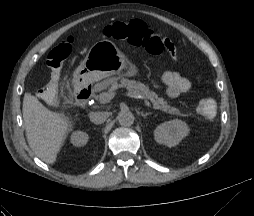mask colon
<instances>
[{
  "label": "colon",
  "mask_w": 254,
  "mask_h": 216,
  "mask_svg": "<svg viewBox=\"0 0 254 216\" xmlns=\"http://www.w3.org/2000/svg\"><path fill=\"white\" fill-rule=\"evenodd\" d=\"M102 34L107 38L142 47L153 55H169L161 43L163 36L154 33L139 20L108 24L103 28ZM72 44L73 39L66 38L47 56L46 64L50 71V81L41 91V95L46 101H54L58 96L62 67L71 53ZM197 112L204 119H213L217 113L216 101L212 98L202 99L197 105Z\"/></svg>",
  "instance_id": "obj_1"
}]
</instances>
